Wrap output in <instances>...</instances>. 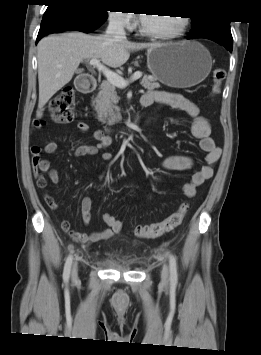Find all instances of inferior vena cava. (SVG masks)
<instances>
[{"label":"inferior vena cava","instance_id":"602c4592","mask_svg":"<svg viewBox=\"0 0 261 355\" xmlns=\"http://www.w3.org/2000/svg\"><path fill=\"white\" fill-rule=\"evenodd\" d=\"M106 36L112 38L114 41H125L126 32L124 30V23L120 17H111L109 25L106 30Z\"/></svg>","mask_w":261,"mask_h":355}]
</instances>
